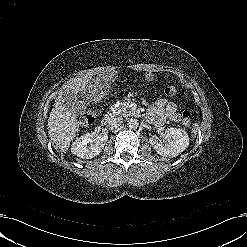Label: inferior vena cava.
I'll list each match as a JSON object with an SVG mask.
<instances>
[{"instance_id": "602c4592", "label": "inferior vena cava", "mask_w": 247, "mask_h": 247, "mask_svg": "<svg viewBox=\"0 0 247 247\" xmlns=\"http://www.w3.org/2000/svg\"><path fill=\"white\" fill-rule=\"evenodd\" d=\"M108 120V125L109 126H117L120 125L123 122V118L121 117H117V116H113V115H108L107 117Z\"/></svg>"}]
</instances>
